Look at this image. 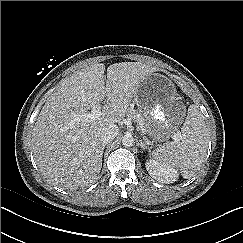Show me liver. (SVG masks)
Returning a JSON list of instances; mask_svg holds the SVG:
<instances>
[{
	"instance_id": "liver-1",
	"label": "liver",
	"mask_w": 243,
	"mask_h": 243,
	"mask_svg": "<svg viewBox=\"0 0 243 243\" xmlns=\"http://www.w3.org/2000/svg\"><path fill=\"white\" fill-rule=\"evenodd\" d=\"M156 67L142 62L94 63L65 78L45 102L32 130L40 171L54 185L75 190L95 181L102 167L103 128L121 123L139 84ZM105 98L102 115L83 118Z\"/></svg>"
}]
</instances>
